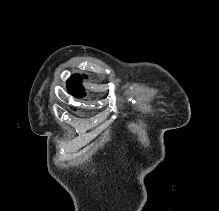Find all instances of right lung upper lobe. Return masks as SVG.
<instances>
[{
	"mask_svg": "<svg viewBox=\"0 0 219 211\" xmlns=\"http://www.w3.org/2000/svg\"><path fill=\"white\" fill-rule=\"evenodd\" d=\"M80 80L81 77L79 75H75L68 81V90L76 97H82L85 95L84 89L80 85Z\"/></svg>",
	"mask_w": 219,
	"mask_h": 211,
	"instance_id": "1",
	"label": "right lung upper lobe"
}]
</instances>
